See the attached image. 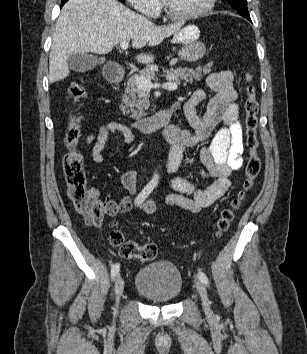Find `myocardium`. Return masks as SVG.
<instances>
[{
  "instance_id": "obj_1",
  "label": "myocardium",
  "mask_w": 307,
  "mask_h": 354,
  "mask_svg": "<svg viewBox=\"0 0 307 354\" xmlns=\"http://www.w3.org/2000/svg\"><path fill=\"white\" fill-rule=\"evenodd\" d=\"M216 2H217V0H207L205 5L201 9H199L195 12L186 13V14L174 13L166 5L165 1H163V8H164V12L168 18L175 20V21H187V20L197 19V18L203 17L204 15L208 14L214 8Z\"/></svg>"
}]
</instances>
